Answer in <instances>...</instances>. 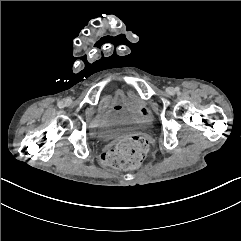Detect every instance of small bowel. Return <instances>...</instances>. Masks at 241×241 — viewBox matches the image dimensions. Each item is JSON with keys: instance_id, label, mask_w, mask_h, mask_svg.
<instances>
[{"instance_id": "obj_1", "label": "small bowel", "mask_w": 241, "mask_h": 241, "mask_svg": "<svg viewBox=\"0 0 241 241\" xmlns=\"http://www.w3.org/2000/svg\"><path fill=\"white\" fill-rule=\"evenodd\" d=\"M135 109L144 123H148L151 121V113L145 106L137 105L135 106Z\"/></svg>"}]
</instances>
